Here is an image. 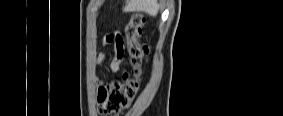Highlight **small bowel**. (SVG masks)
<instances>
[{"label": "small bowel", "mask_w": 283, "mask_h": 116, "mask_svg": "<svg viewBox=\"0 0 283 116\" xmlns=\"http://www.w3.org/2000/svg\"><path fill=\"white\" fill-rule=\"evenodd\" d=\"M113 41H115V55L110 61V70L113 73H117L120 70L121 63L123 61L124 57V49L123 45L121 42V39L119 38V35H112V34H107L103 37L102 39V46L107 47L110 45ZM105 61V53L103 51H100L96 57L95 63L97 65L103 64Z\"/></svg>", "instance_id": "c3829d8e"}]
</instances>
